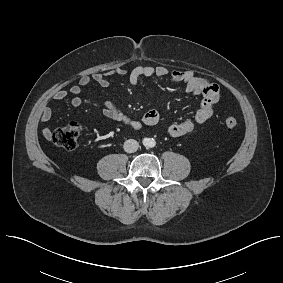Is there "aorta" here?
<instances>
[{
  "mask_svg": "<svg viewBox=\"0 0 283 283\" xmlns=\"http://www.w3.org/2000/svg\"><path fill=\"white\" fill-rule=\"evenodd\" d=\"M146 147H154L155 141L153 139H145L143 142Z\"/></svg>",
  "mask_w": 283,
  "mask_h": 283,
  "instance_id": "aorta-1",
  "label": "aorta"
}]
</instances>
